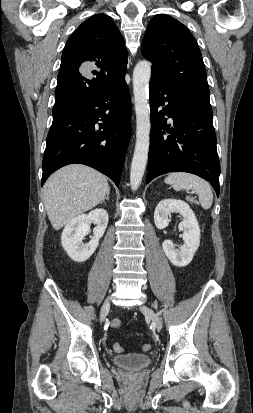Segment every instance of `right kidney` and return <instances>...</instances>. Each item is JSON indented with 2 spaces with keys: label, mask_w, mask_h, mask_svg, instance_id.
<instances>
[{
  "label": "right kidney",
  "mask_w": 253,
  "mask_h": 413,
  "mask_svg": "<svg viewBox=\"0 0 253 413\" xmlns=\"http://www.w3.org/2000/svg\"><path fill=\"white\" fill-rule=\"evenodd\" d=\"M108 213L100 208L89 214L78 215L65 226L61 243L68 256L76 262H84L95 252L99 239L104 235L108 224ZM95 222L94 237L89 243H83V239L90 232V225Z\"/></svg>",
  "instance_id": "1"
}]
</instances>
